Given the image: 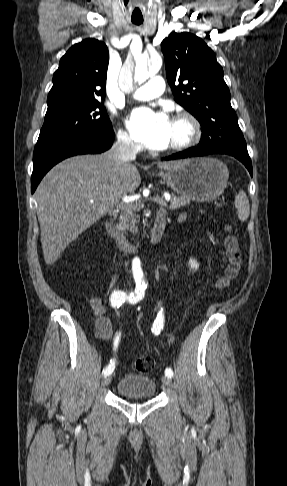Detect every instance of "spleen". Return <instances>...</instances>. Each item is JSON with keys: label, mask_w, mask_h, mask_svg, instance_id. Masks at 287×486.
Here are the masks:
<instances>
[{"label": "spleen", "mask_w": 287, "mask_h": 486, "mask_svg": "<svg viewBox=\"0 0 287 486\" xmlns=\"http://www.w3.org/2000/svg\"><path fill=\"white\" fill-rule=\"evenodd\" d=\"M235 207L240 221H246L250 214V205L246 193L240 190L235 196Z\"/></svg>", "instance_id": "3e777b00"}]
</instances>
